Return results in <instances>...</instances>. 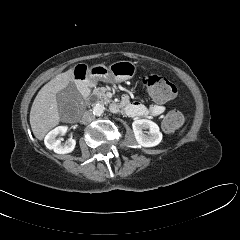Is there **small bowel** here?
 I'll return each mask as SVG.
<instances>
[{
	"instance_id": "small-bowel-1",
	"label": "small bowel",
	"mask_w": 240,
	"mask_h": 240,
	"mask_svg": "<svg viewBox=\"0 0 240 240\" xmlns=\"http://www.w3.org/2000/svg\"><path fill=\"white\" fill-rule=\"evenodd\" d=\"M120 107L131 117L160 116L165 111V107L159 103L147 106L140 102L132 101L129 94H125L122 97Z\"/></svg>"
}]
</instances>
